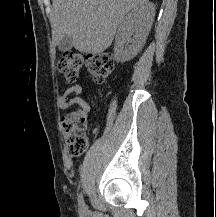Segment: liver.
Listing matches in <instances>:
<instances>
[{
	"label": "liver",
	"mask_w": 216,
	"mask_h": 217,
	"mask_svg": "<svg viewBox=\"0 0 216 217\" xmlns=\"http://www.w3.org/2000/svg\"><path fill=\"white\" fill-rule=\"evenodd\" d=\"M148 0H52V38L71 35L76 50L98 54L112 43L125 15Z\"/></svg>",
	"instance_id": "obj_1"
}]
</instances>
